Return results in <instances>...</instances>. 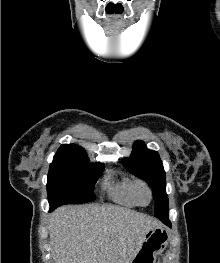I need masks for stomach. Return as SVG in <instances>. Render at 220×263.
<instances>
[{
	"instance_id": "stomach-1",
	"label": "stomach",
	"mask_w": 220,
	"mask_h": 263,
	"mask_svg": "<svg viewBox=\"0 0 220 263\" xmlns=\"http://www.w3.org/2000/svg\"><path fill=\"white\" fill-rule=\"evenodd\" d=\"M168 242L169 234L164 228L150 230L130 263H156L157 255L166 249Z\"/></svg>"
}]
</instances>
